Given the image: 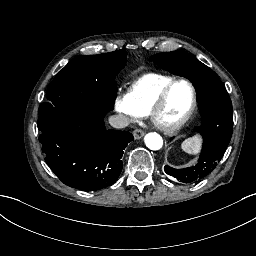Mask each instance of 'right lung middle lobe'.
<instances>
[{"instance_id":"dd1d6c3e","label":"right lung middle lobe","mask_w":256,"mask_h":256,"mask_svg":"<svg viewBox=\"0 0 256 256\" xmlns=\"http://www.w3.org/2000/svg\"><path fill=\"white\" fill-rule=\"evenodd\" d=\"M125 63V50L70 60L49 84L47 100L39 107L38 125L76 110L111 111L117 93L114 79Z\"/></svg>"}]
</instances>
